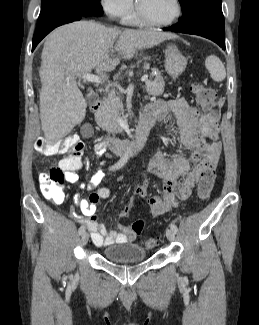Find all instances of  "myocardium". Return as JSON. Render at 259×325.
Here are the masks:
<instances>
[{"label":"myocardium","mask_w":259,"mask_h":325,"mask_svg":"<svg viewBox=\"0 0 259 325\" xmlns=\"http://www.w3.org/2000/svg\"><path fill=\"white\" fill-rule=\"evenodd\" d=\"M172 2L174 4V13L169 19H167L165 21H155V20L148 18L144 14L139 0H137V3H136V15L142 23H144L148 26H153V27L170 26L173 23H175L180 18L181 14H182V4H181L180 0H172Z\"/></svg>","instance_id":"obj_1"}]
</instances>
